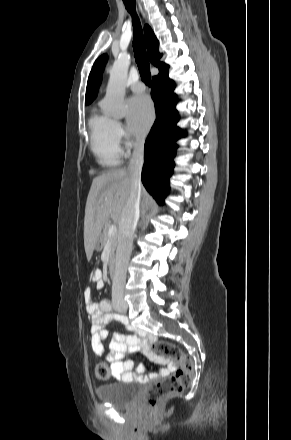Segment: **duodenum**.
I'll list each match as a JSON object with an SVG mask.
<instances>
[{
  "mask_svg": "<svg viewBox=\"0 0 291 440\" xmlns=\"http://www.w3.org/2000/svg\"><path fill=\"white\" fill-rule=\"evenodd\" d=\"M108 272H109L110 278L114 279L116 277V269H115V264L113 261L109 262Z\"/></svg>",
  "mask_w": 291,
  "mask_h": 440,
  "instance_id": "obj_1",
  "label": "duodenum"
}]
</instances>
